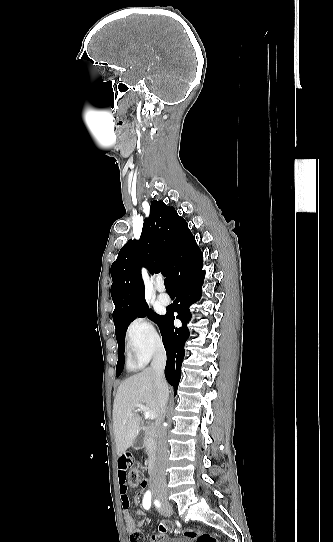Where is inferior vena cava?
Instances as JSON below:
<instances>
[{
    "label": "inferior vena cava",
    "mask_w": 333,
    "mask_h": 542,
    "mask_svg": "<svg viewBox=\"0 0 333 542\" xmlns=\"http://www.w3.org/2000/svg\"><path fill=\"white\" fill-rule=\"evenodd\" d=\"M166 354L165 350H156L153 360L151 362V368L155 374V386L158 396V410L160 412V418L157 420L156 436H157V452L154 468L150 470V488L152 492L158 490V488H166V464L168 458V446L166 440V428L163 426L164 414L166 404L168 402V386L166 384L164 370L166 366Z\"/></svg>",
    "instance_id": "obj_1"
}]
</instances>
